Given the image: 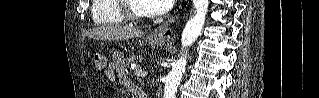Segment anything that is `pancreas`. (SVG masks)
<instances>
[{"instance_id":"1","label":"pancreas","mask_w":319,"mask_h":98,"mask_svg":"<svg viewBox=\"0 0 319 98\" xmlns=\"http://www.w3.org/2000/svg\"><path fill=\"white\" fill-rule=\"evenodd\" d=\"M142 58L132 55L127 61L128 63L141 62Z\"/></svg>"}]
</instances>
